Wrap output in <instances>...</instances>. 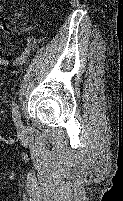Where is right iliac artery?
<instances>
[{
    "label": "right iliac artery",
    "mask_w": 123,
    "mask_h": 201,
    "mask_svg": "<svg viewBox=\"0 0 123 201\" xmlns=\"http://www.w3.org/2000/svg\"><path fill=\"white\" fill-rule=\"evenodd\" d=\"M13 121L15 123V125L17 126V128L22 126V122H21V118H20V112H19V107L18 105H15L13 108Z\"/></svg>",
    "instance_id": "right-iliac-artery-1"
}]
</instances>
